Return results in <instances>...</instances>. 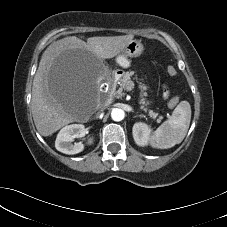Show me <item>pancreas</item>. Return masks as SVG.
<instances>
[{"instance_id": "obj_1", "label": "pancreas", "mask_w": 227, "mask_h": 227, "mask_svg": "<svg viewBox=\"0 0 227 227\" xmlns=\"http://www.w3.org/2000/svg\"><path fill=\"white\" fill-rule=\"evenodd\" d=\"M135 74L134 71H127L124 73V75L118 80L116 81V84L119 85L118 90H115L113 92V96L117 97V98H121L124 95V90H127L128 87H130L132 80L131 77ZM142 80V79H141ZM140 99H139V103H140V108L142 110H144L145 112H148V115L152 118V119H157V122L160 121L161 116L158 115V113H155L152 110H148L147 106L149 105V102L146 100V96L148 95L146 90H147V86L142 84L140 85Z\"/></svg>"}]
</instances>
